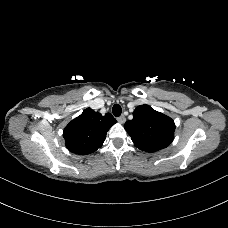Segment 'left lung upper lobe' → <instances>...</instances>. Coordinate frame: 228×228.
Masks as SVG:
<instances>
[{
    "label": "left lung upper lobe",
    "instance_id": "left-lung-upper-lobe-1",
    "mask_svg": "<svg viewBox=\"0 0 228 228\" xmlns=\"http://www.w3.org/2000/svg\"><path fill=\"white\" fill-rule=\"evenodd\" d=\"M124 128L136 147L146 152L166 148L174 139V121L149 105L138 106Z\"/></svg>",
    "mask_w": 228,
    "mask_h": 228
}]
</instances>
